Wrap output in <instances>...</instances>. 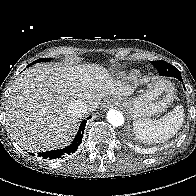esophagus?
<instances>
[{
	"mask_svg": "<svg viewBox=\"0 0 196 196\" xmlns=\"http://www.w3.org/2000/svg\"><path fill=\"white\" fill-rule=\"evenodd\" d=\"M118 103H119V100L117 99V97H111L104 101V104H105L104 106L111 107V106L118 105Z\"/></svg>",
	"mask_w": 196,
	"mask_h": 196,
	"instance_id": "esophagus-1",
	"label": "esophagus"
}]
</instances>
